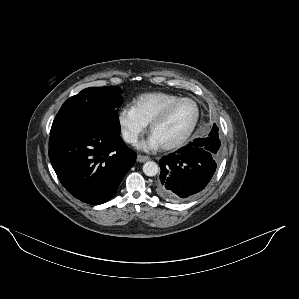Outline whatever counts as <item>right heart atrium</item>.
Here are the masks:
<instances>
[{
    "instance_id": "obj_1",
    "label": "right heart atrium",
    "mask_w": 299,
    "mask_h": 299,
    "mask_svg": "<svg viewBox=\"0 0 299 299\" xmlns=\"http://www.w3.org/2000/svg\"><path fill=\"white\" fill-rule=\"evenodd\" d=\"M117 123L123 139L129 144H135L147 127L131 106L120 109Z\"/></svg>"
}]
</instances>
